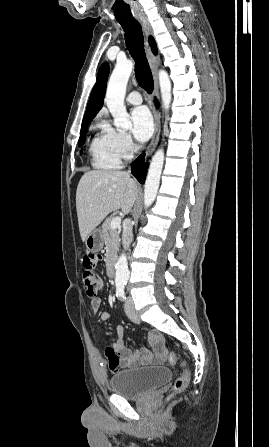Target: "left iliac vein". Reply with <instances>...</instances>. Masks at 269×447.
<instances>
[{
    "instance_id": "left-iliac-vein-1",
    "label": "left iliac vein",
    "mask_w": 269,
    "mask_h": 447,
    "mask_svg": "<svg viewBox=\"0 0 269 447\" xmlns=\"http://www.w3.org/2000/svg\"><path fill=\"white\" fill-rule=\"evenodd\" d=\"M125 312H126L127 316L130 318L131 321H133L135 323H139L140 322V319L136 315L135 308H134V306L132 304V300L130 298L126 300Z\"/></svg>"
}]
</instances>
